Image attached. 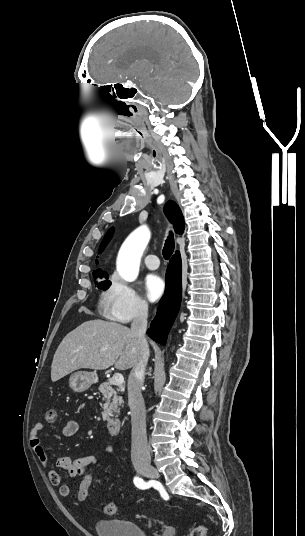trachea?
Instances as JSON below:
<instances>
[{
	"instance_id": "1",
	"label": "trachea",
	"mask_w": 305,
	"mask_h": 536,
	"mask_svg": "<svg viewBox=\"0 0 305 536\" xmlns=\"http://www.w3.org/2000/svg\"><path fill=\"white\" fill-rule=\"evenodd\" d=\"M174 248H175L174 237H173V234H170L168 238L166 239L164 248L162 250V254L165 260H169V258L174 252Z\"/></svg>"
}]
</instances>
